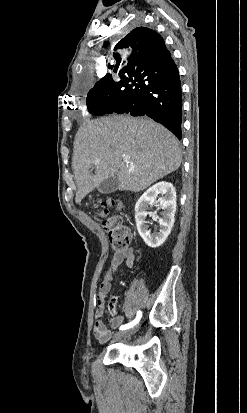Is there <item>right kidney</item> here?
Returning <instances> with one entry per match:
<instances>
[{"instance_id":"obj_1","label":"right kidney","mask_w":247,"mask_h":413,"mask_svg":"<svg viewBox=\"0 0 247 413\" xmlns=\"http://www.w3.org/2000/svg\"><path fill=\"white\" fill-rule=\"evenodd\" d=\"M158 194H163V196H159L158 200H156ZM153 204L154 207L163 209L161 213L162 217L161 219H158V233H151L148 225H146V217L149 215L147 211L150 207H153ZM134 211L137 231L144 243H146L148 247H152V249L160 247V245L165 243L174 225V217L176 213L175 186H173L171 182H166V180L156 182V184L147 188L142 196L138 198Z\"/></svg>"}]
</instances>
